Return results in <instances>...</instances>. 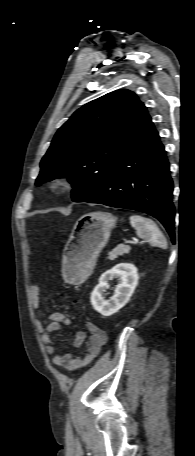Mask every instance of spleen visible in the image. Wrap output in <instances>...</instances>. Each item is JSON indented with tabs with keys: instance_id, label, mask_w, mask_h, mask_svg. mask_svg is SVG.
I'll return each mask as SVG.
<instances>
[{
	"instance_id": "3e777b00",
	"label": "spleen",
	"mask_w": 195,
	"mask_h": 456,
	"mask_svg": "<svg viewBox=\"0 0 195 456\" xmlns=\"http://www.w3.org/2000/svg\"><path fill=\"white\" fill-rule=\"evenodd\" d=\"M130 223L140 238L147 240L154 246L167 248L166 239L153 220L140 215H132L130 216Z\"/></svg>"
}]
</instances>
